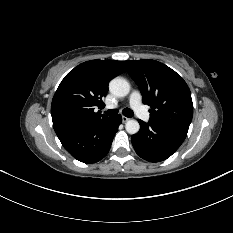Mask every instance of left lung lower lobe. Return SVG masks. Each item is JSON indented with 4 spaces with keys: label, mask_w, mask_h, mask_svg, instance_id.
<instances>
[{
    "label": "left lung lower lobe",
    "mask_w": 233,
    "mask_h": 233,
    "mask_svg": "<svg viewBox=\"0 0 233 233\" xmlns=\"http://www.w3.org/2000/svg\"><path fill=\"white\" fill-rule=\"evenodd\" d=\"M140 132L132 137L136 153L149 162H160L169 158L183 143L187 133L149 121L138 120Z\"/></svg>",
    "instance_id": "0a47b994"
}]
</instances>
